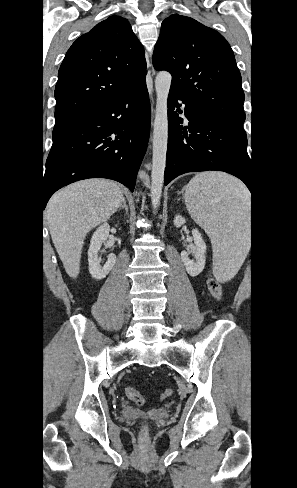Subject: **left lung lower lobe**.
Segmentation results:
<instances>
[{
  "label": "left lung lower lobe",
  "instance_id": "obj_1",
  "mask_svg": "<svg viewBox=\"0 0 297 488\" xmlns=\"http://www.w3.org/2000/svg\"><path fill=\"white\" fill-rule=\"evenodd\" d=\"M178 101L185 104L184 111ZM181 113L189 120L188 126L182 125ZM251 165L243 129L203 114L180 95L169 92L165 185L187 172L217 170L241 179L252 193Z\"/></svg>",
  "mask_w": 297,
  "mask_h": 488
}]
</instances>
